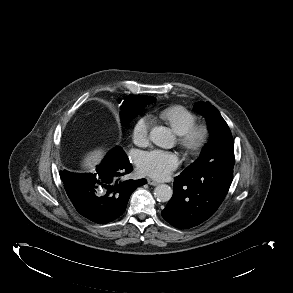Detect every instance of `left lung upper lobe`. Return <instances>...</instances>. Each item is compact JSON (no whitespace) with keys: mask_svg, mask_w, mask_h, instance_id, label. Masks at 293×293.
<instances>
[{"mask_svg":"<svg viewBox=\"0 0 293 293\" xmlns=\"http://www.w3.org/2000/svg\"><path fill=\"white\" fill-rule=\"evenodd\" d=\"M194 109L206 117L211 132V140L201 152L199 158L185 171L214 169L221 171L233 167L235 163L234 146L231 131L220 112L209 102H197Z\"/></svg>","mask_w":293,"mask_h":293,"instance_id":"1","label":"left lung upper lobe"}]
</instances>
